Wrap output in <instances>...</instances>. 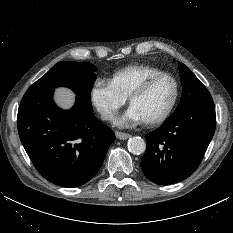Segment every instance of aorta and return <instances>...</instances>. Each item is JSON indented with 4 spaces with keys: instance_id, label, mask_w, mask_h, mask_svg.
I'll return each instance as SVG.
<instances>
[{
    "instance_id": "762f6f07",
    "label": "aorta",
    "mask_w": 233,
    "mask_h": 233,
    "mask_svg": "<svg viewBox=\"0 0 233 233\" xmlns=\"http://www.w3.org/2000/svg\"><path fill=\"white\" fill-rule=\"evenodd\" d=\"M128 150L135 155H139L145 152L146 143L141 137H132L128 140Z\"/></svg>"
}]
</instances>
